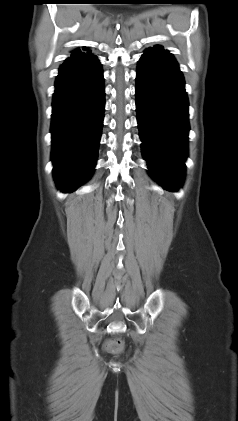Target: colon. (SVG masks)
<instances>
[{
  "instance_id": "obj_1",
  "label": "colon",
  "mask_w": 238,
  "mask_h": 421,
  "mask_svg": "<svg viewBox=\"0 0 238 421\" xmlns=\"http://www.w3.org/2000/svg\"><path fill=\"white\" fill-rule=\"evenodd\" d=\"M107 350L113 354H118L123 350V343L118 339H112L107 343Z\"/></svg>"
}]
</instances>
